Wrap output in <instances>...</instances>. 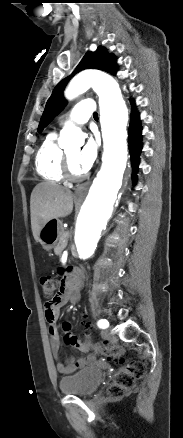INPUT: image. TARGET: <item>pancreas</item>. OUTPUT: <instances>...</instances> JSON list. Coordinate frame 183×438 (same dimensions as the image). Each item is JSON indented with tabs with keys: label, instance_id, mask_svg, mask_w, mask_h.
<instances>
[{
	"label": "pancreas",
	"instance_id": "obj_1",
	"mask_svg": "<svg viewBox=\"0 0 183 438\" xmlns=\"http://www.w3.org/2000/svg\"><path fill=\"white\" fill-rule=\"evenodd\" d=\"M67 242H68V233L63 231L57 245L54 248V252L56 255L61 256L62 251L67 246Z\"/></svg>",
	"mask_w": 183,
	"mask_h": 438
}]
</instances>
